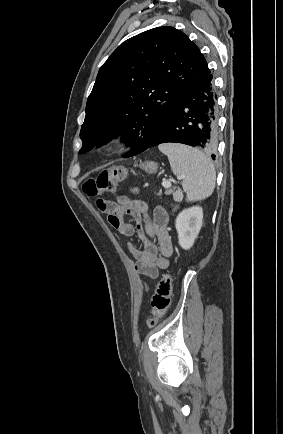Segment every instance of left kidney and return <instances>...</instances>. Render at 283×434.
Wrapping results in <instances>:
<instances>
[{"label":"left kidney","mask_w":283,"mask_h":434,"mask_svg":"<svg viewBox=\"0 0 283 434\" xmlns=\"http://www.w3.org/2000/svg\"><path fill=\"white\" fill-rule=\"evenodd\" d=\"M203 221V210L200 206H193L179 213L175 221L179 245L190 249L197 238Z\"/></svg>","instance_id":"1"}]
</instances>
